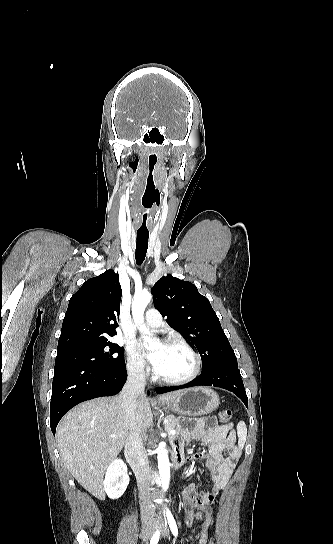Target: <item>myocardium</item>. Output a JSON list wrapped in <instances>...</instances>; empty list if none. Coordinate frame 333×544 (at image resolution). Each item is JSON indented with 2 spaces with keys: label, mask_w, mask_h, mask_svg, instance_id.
<instances>
[{
  "label": "myocardium",
  "mask_w": 333,
  "mask_h": 544,
  "mask_svg": "<svg viewBox=\"0 0 333 544\" xmlns=\"http://www.w3.org/2000/svg\"><path fill=\"white\" fill-rule=\"evenodd\" d=\"M167 345L179 346V347L185 349L187 352H189L191 354V356L193 357V360H194L193 369L187 376H185L183 378H179V379L163 378L160 375H158L156 370H155L154 371V379L157 382L161 383V384L170 385V386L183 385V384H187V383L193 381L200 374V372L202 370V358H201L200 354L188 342H186L183 339H179V338L170 339L168 341Z\"/></svg>",
  "instance_id": "myocardium-1"
}]
</instances>
